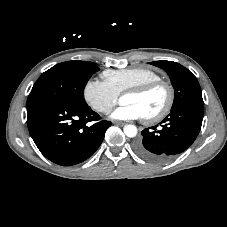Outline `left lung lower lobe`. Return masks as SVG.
Here are the masks:
<instances>
[{
    "label": "left lung lower lobe",
    "instance_id": "obj_1",
    "mask_svg": "<svg viewBox=\"0 0 227 227\" xmlns=\"http://www.w3.org/2000/svg\"><path fill=\"white\" fill-rule=\"evenodd\" d=\"M204 104L186 103L171 109L158 125L144 129L134 149L142 158L165 162L189 148L201 129Z\"/></svg>",
    "mask_w": 227,
    "mask_h": 227
}]
</instances>
